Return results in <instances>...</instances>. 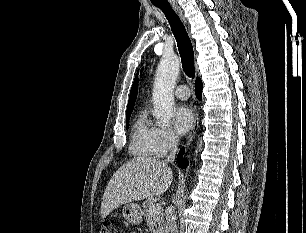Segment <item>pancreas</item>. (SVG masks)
<instances>
[{
    "label": "pancreas",
    "mask_w": 306,
    "mask_h": 233,
    "mask_svg": "<svg viewBox=\"0 0 306 233\" xmlns=\"http://www.w3.org/2000/svg\"><path fill=\"white\" fill-rule=\"evenodd\" d=\"M154 204V199L149 198L143 202V216L147 223V227L152 233H165V224H164V214L160 210L156 214H151L149 212L150 207Z\"/></svg>",
    "instance_id": "obj_1"
}]
</instances>
